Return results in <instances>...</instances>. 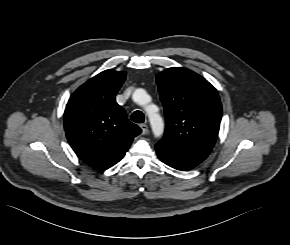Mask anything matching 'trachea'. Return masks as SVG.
Segmentation results:
<instances>
[{
  "label": "trachea",
  "instance_id": "1",
  "mask_svg": "<svg viewBox=\"0 0 290 245\" xmlns=\"http://www.w3.org/2000/svg\"><path fill=\"white\" fill-rule=\"evenodd\" d=\"M130 119L135 123H143L144 115L141 111H135L134 113H132Z\"/></svg>",
  "mask_w": 290,
  "mask_h": 245
}]
</instances>
